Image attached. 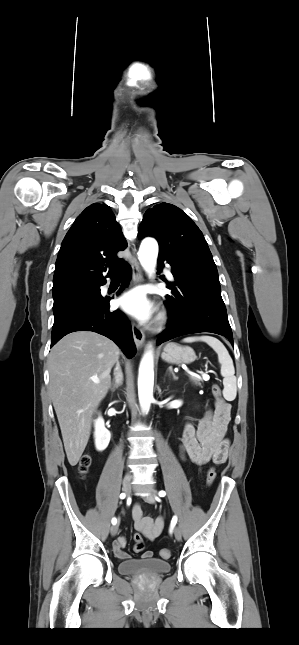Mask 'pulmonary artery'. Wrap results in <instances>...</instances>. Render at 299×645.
Masks as SVG:
<instances>
[{
  "instance_id": "obj_1",
  "label": "pulmonary artery",
  "mask_w": 299,
  "mask_h": 645,
  "mask_svg": "<svg viewBox=\"0 0 299 645\" xmlns=\"http://www.w3.org/2000/svg\"><path fill=\"white\" fill-rule=\"evenodd\" d=\"M165 273H166L167 277H169L171 279L173 278V275H172V273H171V271L169 269H166Z\"/></svg>"
}]
</instances>
